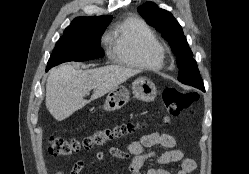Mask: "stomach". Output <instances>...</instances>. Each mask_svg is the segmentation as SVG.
I'll return each mask as SVG.
<instances>
[{"mask_svg": "<svg viewBox=\"0 0 249 174\" xmlns=\"http://www.w3.org/2000/svg\"><path fill=\"white\" fill-rule=\"evenodd\" d=\"M134 96L144 102L153 101L157 95V89L152 81L145 77L136 79L132 84ZM129 100V91L124 86H118L111 90L105 100L104 109L107 111L118 110Z\"/></svg>", "mask_w": 249, "mask_h": 174, "instance_id": "obj_1", "label": "stomach"}]
</instances>
